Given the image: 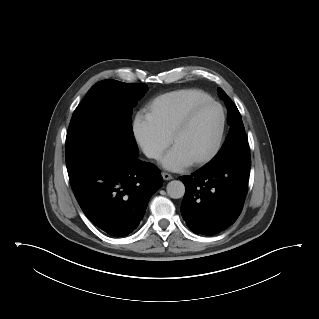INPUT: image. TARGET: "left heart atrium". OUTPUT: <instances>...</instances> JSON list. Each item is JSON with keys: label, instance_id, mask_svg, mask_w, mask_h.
<instances>
[{"label": "left heart atrium", "instance_id": "39dd6f15", "mask_svg": "<svg viewBox=\"0 0 319 319\" xmlns=\"http://www.w3.org/2000/svg\"><path fill=\"white\" fill-rule=\"evenodd\" d=\"M164 168L170 171H180L188 167L191 162L184 158L176 149L172 148L161 161Z\"/></svg>", "mask_w": 319, "mask_h": 319}]
</instances>
